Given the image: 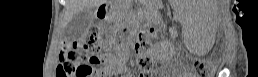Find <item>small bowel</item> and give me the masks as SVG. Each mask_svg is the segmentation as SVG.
Returning <instances> with one entry per match:
<instances>
[{"mask_svg": "<svg viewBox=\"0 0 258 77\" xmlns=\"http://www.w3.org/2000/svg\"><path fill=\"white\" fill-rule=\"evenodd\" d=\"M100 58L103 68L100 70L99 75L97 77L107 76L112 73L122 71L125 66L127 51L124 50L116 54L107 53L100 56Z\"/></svg>", "mask_w": 258, "mask_h": 77, "instance_id": "small-bowel-1", "label": "small bowel"}]
</instances>
